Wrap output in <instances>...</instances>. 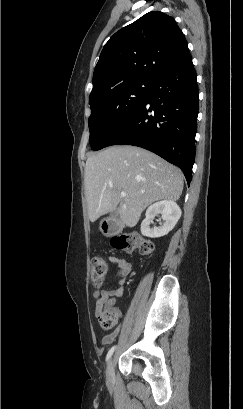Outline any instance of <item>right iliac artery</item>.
Returning a JSON list of instances; mask_svg holds the SVG:
<instances>
[{"instance_id":"obj_1","label":"right iliac artery","mask_w":243,"mask_h":409,"mask_svg":"<svg viewBox=\"0 0 243 409\" xmlns=\"http://www.w3.org/2000/svg\"><path fill=\"white\" fill-rule=\"evenodd\" d=\"M114 350H115V346H113V347L109 350V352L107 353L106 361H108V360L110 359V357L112 356Z\"/></svg>"}]
</instances>
